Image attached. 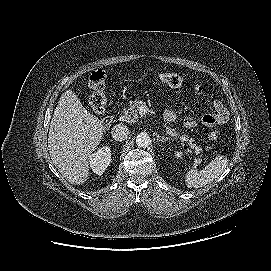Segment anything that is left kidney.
Returning <instances> with one entry per match:
<instances>
[{
	"label": "left kidney",
	"mask_w": 271,
	"mask_h": 271,
	"mask_svg": "<svg viewBox=\"0 0 271 271\" xmlns=\"http://www.w3.org/2000/svg\"><path fill=\"white\" fill-rule=\"evenodd\" d=\"M182 155H183V153H182L181 151H177V152L175 153V156H176L178 159H181V158H182Z\"/></svg>",
	"instance_id": "5707ae66"
}]
</instances>
